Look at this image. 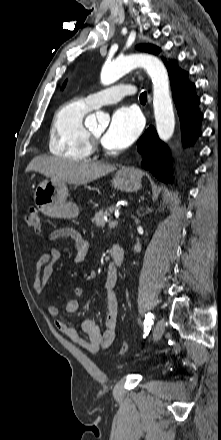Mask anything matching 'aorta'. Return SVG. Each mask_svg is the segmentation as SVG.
Returning a JSON list of instances; mask_svg holds the SVG:
<instances>
[{
	"mask_svg": "<svg viewBox=\"0 0 221 440\" xmlns=\"http://www.w3.org/2000/svg\"><path fill=\"white\" fill-rule=\"evenodd\" d=\"M143 67L153 82V107L158 136L168 141L175 128V117L169 90V77L164 64L148 54H132L106 63L101 72V82L110 85L134 68ZM91 123L105 120L102 112L88 117Z\"/></svg>",
	"mask_w": 221,
	"mask_h": 440,
	"instance_id": "1",
	"label": "aorta"
}]
</instances>
